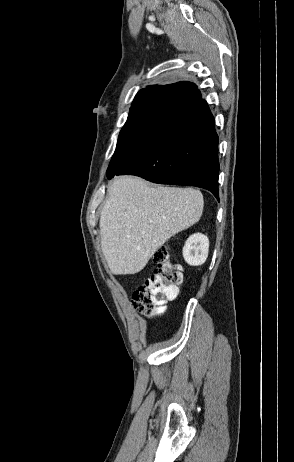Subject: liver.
I'll use <instances>...</instances> for the list:
<instances>
[{
  "mask_svg": "<svg viewBox=\"0 0 294 462\" xmlns=\"http://www.w3.org/2000/svg\"><path fill=\"white\" fill-rule=\"evenodd\" d=\"M100 215L101 248L115 275L136 274L167 240L199 221L203 195L193 188H153L138 177L108 185Z\"/></svg>",
  "mask_w": 294,
  "mask_h": 462,
  "instance_id": "liver-1",
  "label": "liver"
}]
</instances>
